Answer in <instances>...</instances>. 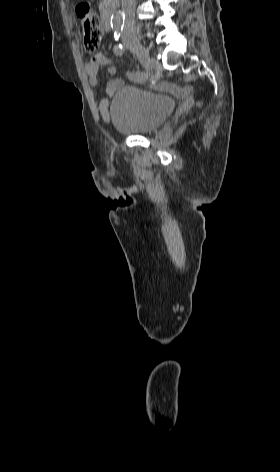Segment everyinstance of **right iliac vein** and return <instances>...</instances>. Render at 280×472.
Listing matches in <instances>:
<instances>
[{
	"instance_id": "63e3f726",
	"label": "right iliac vein",
	"mask_w": 280,
	"mask_h": 472,
	"mask_svg": "<svg viewBox=\"0 0 280 472\" xmlns=\"http://www.w3.org/2000/svg\"><path fill=\"white\" fill-rule=\"evenodd\" d=\"M123 42L125 46L137 56L143 67L147 70L150 69L151 60L148 50L139 42V40L134 36H128L124 38Z\"/></svg>"
}]
</instances>
